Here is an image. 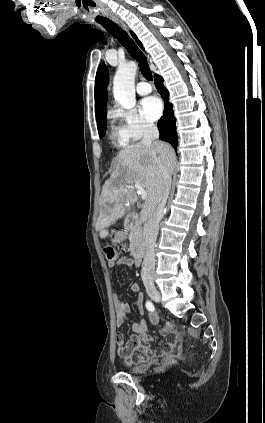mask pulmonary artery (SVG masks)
<instances>
[{
  "label": "pulmonary artery",
  "mask_w": 265,
  "mask_h": 423,
  "mask_svg": "<svg viewBox=\"0 0 265 423\" xmlns=\"http://www.w3.org/2000/svg\"><path fill=\"white\" fill-rule=\"evenodd\" d=\"M136 91L139 95H147L152 91V87L148 82L140 81L136 85Z\"/></svg>",
  "instance_id": "pulmonary-artery-1"
}]
</instances>
